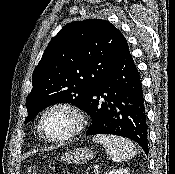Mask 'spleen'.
<instances>
[{
    "mask_svg": "<svg viewBox=\"0 0 175 174\" xmlns=\"http://www.w3.org/2000/svg\"><path fill=\"white\" fill-rule=\"evenodd\" d=\"M95 143H100L114 162L130 160L137 153L135 145L123 137L115 135L97 134L93 136Z\"/></svg>",
    "mask_w": 175,
    "mask_h": 174,
    "instance_id": "1",
    "label": "spleen"
}]
</instances>
